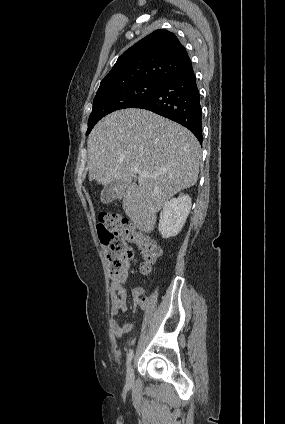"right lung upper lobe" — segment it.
Masks as SVG:
<instances>
[{"instance_id":"1","label":"right lung upper lobe","mask_w":285,"mask_h":424,"mask_svg":"<svg viewBox=\"0 0 285 424\" xmlns=\"http://www.w3.org/2000/svg\"><path fill=\"white\" fill-rule=\"evenodd\" d=\"M190 65L191 60L178 38L167 30H156L118 58L98 91L139 81L165 82Z\"/></svg>"}]
</instances>
